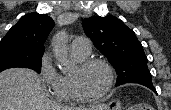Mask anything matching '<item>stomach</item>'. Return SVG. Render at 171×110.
Returning <instances> with one entry per match:
<instances>
[{
  "instance_id": "obj_1",
  "label": "stomach",
  "mask_w": 171,
  "mask_h": 110,
  "mask_svg": "<svg viewBox=\"0 0 171 110\" xmlns=\"http://www.w3.org/2000/svg\"><path fill=\"white\" fill-rule=\"evenodd\" d=\"M89 110H121V103L118 100H112L107 105L96 106Z\"/></svg>"
}]
</instances>
